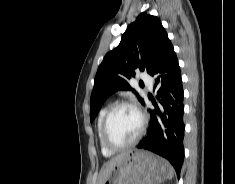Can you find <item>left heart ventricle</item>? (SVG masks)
Listing matches in <instances>:
<instances>
[{
	"mask_svg": "<svg viewBox=\"0 0 235 184\" xmlns=\"http://www.w3.org/2000/svg\"><path fill=\"white\" fill-rule=\"evenodd\" d=\"M141 124L140 115L131 107L117 109L110 120V139L116 144L131 141L138 133Z\"/></svg>",
	"mask_w": 235,
	"mask_h": 184,
	"instance_id": "1",
	"label": "left heart ventricle"
}]
</instances>
